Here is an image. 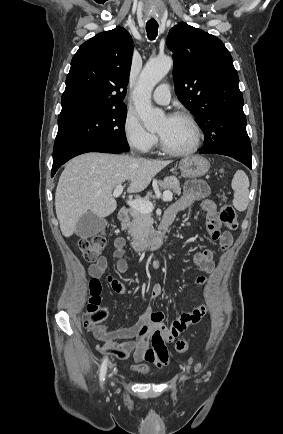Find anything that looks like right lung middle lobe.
I'll return each instance as SVG.
<instances>
[{
  "mask_svg": "<svg viewBox=\"0 0 283 434\" xmlns=\"http://www.w3.org/2000/svg\"><path fill=\"white\" fill-rule=\"evenodd\" d=\"M126 107L68 114L58 117L53 161L86 145L105 144L126 152Z\"/></svg>",
  "mask_w": 283,
  "mask_h": 434,
  "instance_id": "dd1d6c3e",
  "label": "right lung middle lobe"
}]
</instances>
